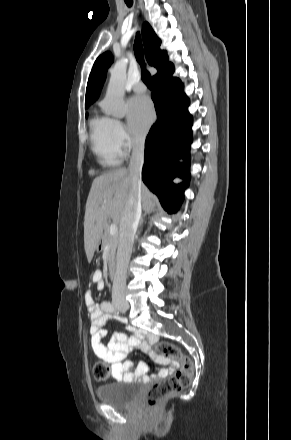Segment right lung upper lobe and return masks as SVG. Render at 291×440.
I'll return each instance as SVG.
<instances>
[{"label":"right lung upper lobe","mask_w":291,"mask_h":440,"mask_svg":"<svg viewBox=\"0 0 291 440\" xmlns=\"http://www.w3.org/2000/svg\"><path fill=\"white\" fill-rule=\"evenodd\" d=\"M142 34L147 61L157 69V74L153 76V78L174 69L173 64L168 62L166 51L160 50L161 40L147 22L143 24ZM112 62L113 57L110 52L103 53L95 61L88 79L85 97L86 106H89L98 98L106 77L107 69Z\"/></svg>","instance_id":"1"}]
</instances>
